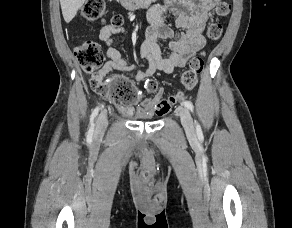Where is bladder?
Masks as SVG:
<instances>
[{"label": "bladder", "mask_w": 292, "mask_h": 228, "mask_svg": "<svg viewBox=\"0 0 292 228\" xmlns=\"http://www.w3.org/2000/svg\"><path fill=\"white\" fill-rule=\"evenodd\" d=\"M137 119H138V120H141V121H145V120H151L152 118H150V117L138 116Z\"/></svg>", "instance_id": "1"}]
</instances>
